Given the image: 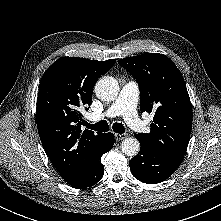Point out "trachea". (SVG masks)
Returning a JSON list of instances; mask_svg holds the SVG:
<instances>
[{
  "label": "trachea",
  "mask_w": 221,
  "mask_h": 221,
  "mask_svg": "<svg viewBox=\"0 0 221 221\" xmlns=\"http://www.w3.org/2000/svg\"><path fill=\"white\" fill-rule=\"evenodd\" d=\"M86 127L98 132H107L109 130V125L106 120H101L95 124L86 123ZM113 131L118 134H123L125 132V128L122 123H114Z\"/></svg>",
  "instance_id": "3493384b"
}]
</instances>
